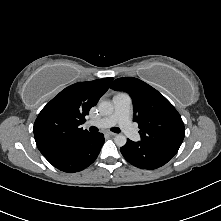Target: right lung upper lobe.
Wrapping results in <instances>:
<instances>
[{"instance_id":"cb5924a9","label":"right lung upper lobe","mask_w":221,"mask_h":221,"mask_svg":"<svg viewBox=\"0 0 221 221\" xmlns=\"http://www.w3.org/2000/svg\"><path fill=\"white\" fill-rule=\"evenodd\" d=\"M112 80L109 77L70 85L41 110L33 132L37 147L47 160L53 158L63 145L90 134L81 128V124Z\"/></svg>"}]
</instances>
